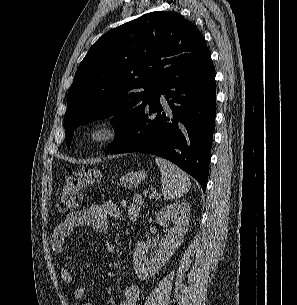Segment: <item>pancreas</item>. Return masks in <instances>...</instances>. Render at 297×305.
Masks as SVG:
<instances>
[{
  "mask_svg": "<svg viewBox=\"0 0 297 305\" xmlns=\"http://www.w3.org/2000/svg\"><path fill=\"white\" fill-rule=\"evenodd\" d=\"M143 200L144 199L141 195H135L133 202L128 205V215L131 220L135 221L137 219Z\"/></svg>",
  "mask_w": 297,
  "mask_h": 305,
  "instance_id": "1",
  "label": "pancreas"
}]
</instances>
